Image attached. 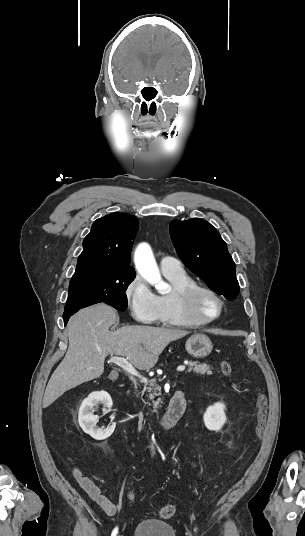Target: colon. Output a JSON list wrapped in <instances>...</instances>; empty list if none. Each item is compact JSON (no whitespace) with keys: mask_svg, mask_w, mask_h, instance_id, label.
I'll return each instance as SVG.
<instances>
[{"mask_svg":"<svg viewBox=\"0 0 305 536\" xmlns=\"http://www.w3.org/2000/svg\"><path fill=\"white\" fill-rule=\"evenodd\" d=\"M219 367L223 375L231 376L233 374V369H232V365L230 361L222 360L219 363ZM267 405H268V399H267L266 394L263 392L259 393L256 397L257 414H256V428H255V433L258 438L262 436L265 430L266 418H267ZM126 496L130 502L135 501L136 496H135L134 491L131 488L127 490ZM174 511H175V506L173 504H167V505L160 506L156 510V514L161 519H167V518H170L174 514Z\"/></svg>","mask_w":305,"mask_h":536,"instance_id":"colon-1","label":"colon"}]
</instances>
